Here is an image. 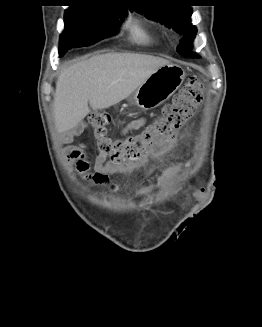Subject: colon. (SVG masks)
<instances>
[{
	"mask_svg": "<svg viewBox=\"0 0 262 327\" xmlns=\"http://www.w3.org/2000/svg\"><path fill=\"white\" fill-rule=\"evenodd\" d=\"M203 98L202 84L197 78H191L172 102L166 105L142 131L118 138L109 135L111 122L109 114L89 115L88 122L99 155L109 158L115 164L141 157L156 144L173 137L174 133L194 115Z\"/></svg>",
	"mask_w": 262,
	"mask_h": 327,
	"instance_id": "colon-1",
	"label": "colon"
}]
</instances>
